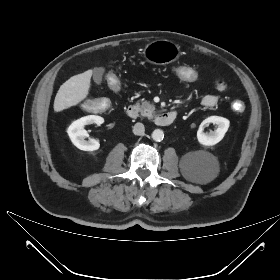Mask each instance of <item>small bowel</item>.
<instances>
[{"mask_svg": "<svg viewBox=\"0 0 280 280\" xmlns=\"http://www.w3.org/2000/svg\"><path fill=\"white\" fill-rule=\"evenodd\" d=\"M187 67H189V66H187ZM109 73H112V72L109 71L108 74ZM215 87L219 92H222L225 90V84L221 81H216ZM219 100H220V96L218 94H207L202 98L201 104L205 108H213L214 106H216L218 104Z\"/></svg>", "mask_w": 280, "mask_h": 280, "instance_id": "small-bowel-1", "label": "small bowel"}]
</instances>
